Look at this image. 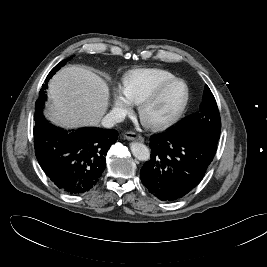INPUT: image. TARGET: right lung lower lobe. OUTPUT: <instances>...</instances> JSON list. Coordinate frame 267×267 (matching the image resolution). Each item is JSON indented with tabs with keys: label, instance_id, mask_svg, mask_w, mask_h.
I'll use <instances>...</instances> for the list:
<instances>
[{
	"label": "right lung lower lobe",
	"instance_id": "right-lung-lower-lobe-1",
	"mask_svg": "<svg viewBox=\"0 0 267 267\" xmlns=\"http://www.w3.org/2000/svg\"><path fill=\"white\" fill-rule=\"evenodd\" d=\"M116 130L95 127L69 132L51 125L41 114L35 118L37 160L50 180L64 192L89 191L106 167V155L116 142Z\"/></svg>",
	"mask_w": 267,
	"mask_h": 267
}]
</instances>
